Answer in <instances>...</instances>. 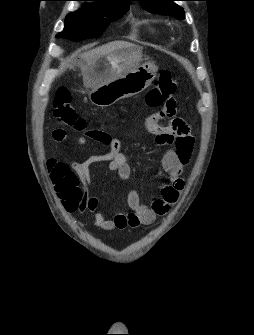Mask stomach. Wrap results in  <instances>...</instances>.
I'll list each match as a JSON object with an SVG mask.
<instances>
[{
  "label": "stomach",
  "instance_id": "1",
  "mask_svg": "<svg viewBox=\"0 0 254 335\" xmlns=\"http://www.w3.org/2000/svg\"><path fill=\"white\" fill-rule=\"evenodd\" d=\"M141 53L138 46L123 47L91 66L85 80L91 89L89 99L92 104L107 107L151 85L158 68L152 63L141 65Z\"/></svg>",
  "mask_w": 254,
  "mask_h": 335
}]
</instances>
